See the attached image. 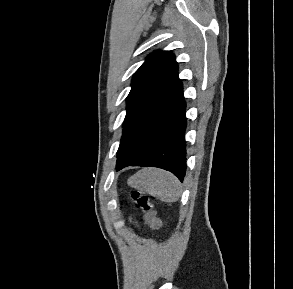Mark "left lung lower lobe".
Wrapping results in <instances>:
<instances>
[{
	"mask_svg": "<svg viewBox=\"0 0 293 289\" xmlns=\"http://www.w3.org/2000/svg\"><path fill=\"white\" fill-rule=\"evenodd\" d=\"M186 103L181 81L124 133L122 144L132 154L118 167L151 166L172 172L183 181L186 171Z\"/></svg>",
	"mask_w": 293,
	"mask_h": 289,
	"instance_id": "obj_1",
	"label": "left lung lower lobe"
}]
</instances>
